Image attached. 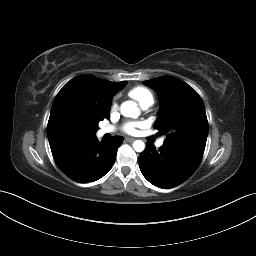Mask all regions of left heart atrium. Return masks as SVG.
I'll return each instance as SVG.
<instances>
[{
	"mask_svg": "<svg viewBox=\"0 0 256 256\" xmlns=\"http://www.w3.org/2000/svg\"><path fill=\"white\" fill-rule=\"evenodd\" d=\"M143 126V124L141 122H126L123 126H122V130L130 135H133L137 132L138 128H141Z\"/></svg>",
	"mask_w": 256,
	"mask_h": 256,
	"instance_id": "39dd6f15",
	"label": "left heart atrium"
}]
</instances>
